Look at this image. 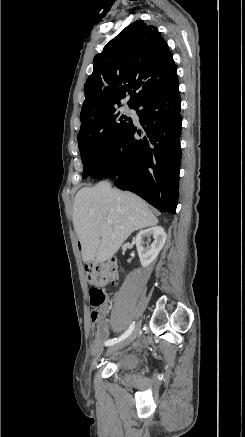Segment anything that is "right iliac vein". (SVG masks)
I'll use <instances>...</instances> for the list:
<instances>
[{
    "mask_svg": "<svg viewBox=\"0 0 245 437\" xmlns=\"http://www.w3.org/2000/svg\"><path fill=\"white\" fill-rule=\"evenodd\" d=\"M140 327H141V322H138L137 325L135 326L134 330L132 331V333L127 338H125L124 340L119 342L118 344L112 345L111 347H109L107 353H113L115 351H118V350L126 347L128 344H130L137 337Z\"/></svg>",
    "mask_w": 245,
    "mask_h": 437,
    "instance_id": "obj_1",
    "label": "right iliac vein"
}]
</instances>
